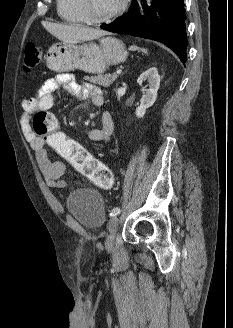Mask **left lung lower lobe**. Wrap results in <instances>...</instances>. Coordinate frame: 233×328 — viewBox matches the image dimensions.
I'll return each instance as SVG.
<instances>
[{"label": "left lung lower lobe", "mask_w": 233, "mask_h": 328, "mask_svg": "<svg viewBox=\"0 0 233 328\" xmlns=\"http://www.w3.org/2000/svg\"><path fill=\"white\" fill-rule=\"evenodd\" d=\"M183 0H133L128 13L100 27L106 31L159 41L186 62Z\"/></svg>", "instance_id": "1"}]
</instances>
